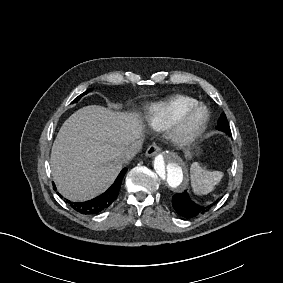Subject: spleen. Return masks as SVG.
I'll list each match as a JSON object with an SVG mask.
<instances>
[{
  "instance_id": "1",
  "label": "spleen",
  "mask_w": 283,
  "mask_h": 283,
  "mask_svg": "<svg viewBox=\"0 0 283 283\" xmlns=\"http://www.w3.org/2000/svg\"><path fill=\"white\" fill-rule=\"evenodd\" d=\"M191 179L194 190L196 192L208 193L213 186L219 182L222 172L210 170V168L202 162H195L191 167Z\"/></svg>"
}]
</instances>
